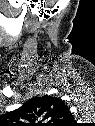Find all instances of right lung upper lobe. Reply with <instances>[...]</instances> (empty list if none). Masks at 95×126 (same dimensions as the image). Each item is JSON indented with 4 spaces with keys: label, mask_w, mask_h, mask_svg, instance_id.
Segmentation results:
<instances>
[{
    "label": "right lung upper lobe",
    "mask_w": 95,
    "mask_h": 126,
    "mask_svg": "<svg viewBox=\"0 0 95 126\" xmlns=\"http://www.w3.org/2000/svg\"><path fill=\"white\" fill-rule=\"evenodd\" d=\"M6 118L19 126H71L74 122L65 102L50 95L33 97Z\"/></svg>",
    "instance_id": "1"
}]
</instances>
